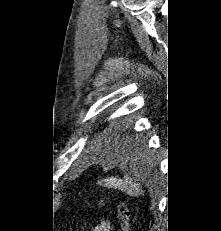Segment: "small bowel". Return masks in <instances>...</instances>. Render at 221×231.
<instances>
[{"instance_id": "c3829d8e", "label": "small bowel", "mask_w": 221, "mask_h": 231, "mask_svg": "<svg viewBox=\"0 0 221 231\" xmlns=\"http://www.w3.org/2000/svg\"><path fill=\"white\" fill-rule=\"evenodd\" d=\"M111 224L108 220H101L93 229L92 231H110Z\"/></svg>"}]
</instances>
